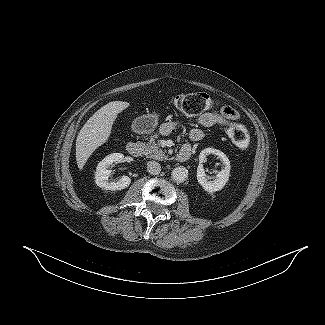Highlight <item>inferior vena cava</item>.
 <instances>
[{"label": "inferior vena cava", "instance_id": "obj_1", "mask_svg": "<svg viewBox=\"0 0 325 325\" xmlns=\"http://www.w3.org/2000/svg\"><path fill=\"white\" fill-rule=\"evenodd\" d=\"M147 171L150 174L158 175L160 173V171H161V166L156 161H148L147 162Z\"/></svg>", "mask_w": 325, "mask_h": 325}]
</instances>
